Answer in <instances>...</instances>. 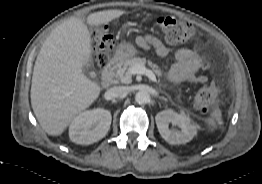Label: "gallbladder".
Masks as SVG:
<instances>
[{
  "label": "gallbladder",
  "instance_id": "bac80fb5",
  "mask_svg": "<svg viewBox=\"0 0 262 184\" xmlns=\"http://www.w3.org/2000/svg\"><path fill=\"white\" fill-rule=\"evenodd\" d=\"M84 73L87 75H91V72H88L87 70H84Z\"/></svg>",
  "mask_w": 262,
  "mask_h": 184
}]
</instances>
